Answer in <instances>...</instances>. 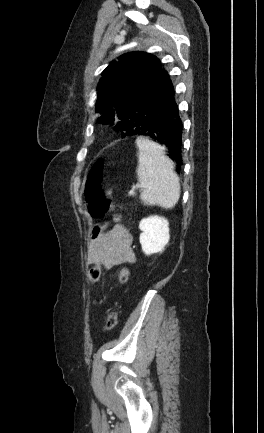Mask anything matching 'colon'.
<instances>
[{
  "instance_id": "colon-1",
  "label": "colon",
  "mask_w": 264,
  "mask_h": 433,
  "mask_svg": "<svg viewBox=\"0 0 264 433\" xmlns=\"http://www.w3.org/2000/svg\"><path fill=\"white\" fill-rule=\"evenodd\" d=\"M106 161L103 158L97 159L89 172L88 180L85 186V199L88 203V209L94 217H103L112 210V203L107 199L103 190V178ZM101 275V267L94 265L89 269L88 278L91 284L96 283ZM118 279L122 284L128 282L129 271L127 268H121L118 271ZM118 323V314L116 310H110L105 319V330L113 329Z\"/></svg>"
}]
</instances>
